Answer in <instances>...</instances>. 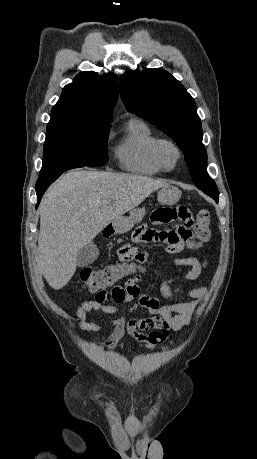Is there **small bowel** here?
I'll use <instances>...</instances> for the list:
<instances>
[{
  "mask_svg": "<svg viewBox=\"0 0 257 459\" xmlns=\"http://www.w3.org/2000/svg\"><path fill=\"white\" fill-rule=\"evenodd\" d=\"M146 218L153 226H165L167 232H157L154 227H133L131 239H123L122 246H117L115 250L116 263L147 264L148 261H157V252L150 249L149 245L154 241L156 246L162 244V249L167 251L168 257H174V266L188 267V270L180 273L177 279L185 282L197 280L207 263L193 256L179 257L186 243L193 245L197 234L196 227H193L191 206L154 205L153 213H148ZM160 288L164 297L168 299L187 301L161 304L156 297L148 295L140 288L137 278H132L124 286L116 285L104 290L107 296L104 301H98L96 298L84 301L76 311L79 329L89 332L110 329L106 345L111 349L120 344L126 333L136 341L145 343L146 349H153L166 340L170 330L179 331L190 323L200 301L207 293L205 287L174 291L169 278L161 281ZM124 307H127L125 314L109 318L107 324L88 320L89 315L111 316ZM138 307L143 308L147 316L131 318V313Z\"/></svg>",
  "mask_w": 257,
  "mask_h": 459,
  "instance_id": "c3829d8e",
  "label": "small bowel"
}]
</instances>
